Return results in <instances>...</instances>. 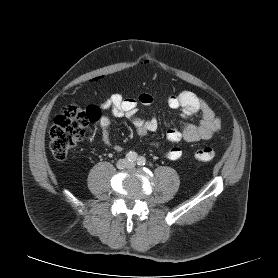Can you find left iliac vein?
I'll list each match as a JSON object with an SVG mask.
<instances>
[{
    "instance_id": "1",
    "label": "left iliac vein",
    "mask_w": 278,
    "mask_h": 278,
    "mask_svg": "<svg viewBox=\"0 0 278 278\" xmlns=\"http://www.w3.org/2000/svg\"><path fill=\"white\" fill-rule=\"evenodd\" d=\"M130 167H134V164H130Z\"/></svg>"
}]
</instances>
